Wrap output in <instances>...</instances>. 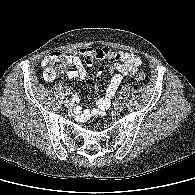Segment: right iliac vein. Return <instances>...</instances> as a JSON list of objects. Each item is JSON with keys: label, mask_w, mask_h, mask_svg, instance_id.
I'll use <instances>...</instances> for the list:
<instances>
[{"label": "right iliac vein", "mask_w": 195, "mask_h": 195, "mask_svg": "<svg viewBox=\"0 0 195 195\" xmlns=\"http://www.w3.org/2000/svg\"><path fill=\"white\" fill-rule=\"evenodd\" d=\"M64 104L66 107H71L74 103L71 99L66 98V100L64 101Z\"/></svg>", "instance_id": "1"}]
</instances>
